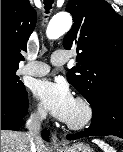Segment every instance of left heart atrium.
Wrapping results in <instances>:
<instances>
[{
	"mask_svg": "<svg viewBox=\"0 0 123 152\" xmlns=\"http://www.w3.org/2000/svg\"><path fill=\"white\" fill-rule=\"evenodd\" d=\"M34 93L37 100L60 120H69L75 105L68 86L62 81L43 79L36 83Z\"/></svg>",
	"mask_w": 123,
	"mask_h": 152,
	"instance_id": "39dd6f15",
	"label": "left heart atrium"
}]
</instances>
